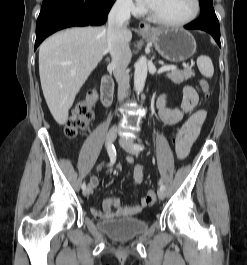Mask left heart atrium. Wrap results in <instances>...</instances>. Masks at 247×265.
<instances>
[{"mask_svg": "<svg viewBox=\"0 0 247 265\" xmlns=\"http://www.w3.org/2000/svg\"><path fill=\"white\" fill-rule=\"evenodd\" d=\"M143 4L150 6L153 0H140Z\"/></svg>", "mask_w": 247, "mask_h": 265, "instance_id": "left-heart-atrium-1", "label": "left heart atrium"}]
</instances>
